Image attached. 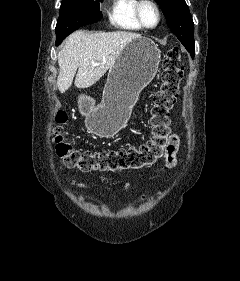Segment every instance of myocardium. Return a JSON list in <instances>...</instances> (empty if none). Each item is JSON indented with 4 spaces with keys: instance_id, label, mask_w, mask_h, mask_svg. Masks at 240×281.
Segmentation results:
<instances>
[{
    "instance_id": "1",
    "label": "myocardium",
    "mask_w": 240,
    "mask_h": 281,
    "mask_svg": "<svg viewBox=\"0 0 240 281\" xmlns=\"http://www.w3.org/2000/svg\"><path fill=\"white\" fill-rule=\"evenodd\" d=\"M146 4L153 6L156 11V14H157V21L154 25H151V26L147 25L145 23L143 16H142V8ZM135 15H136L137 21L144 29H154L159 26V24L161 23V20H162V11H161L160 5L155 0H137V4L135 7Z\"/></svg>"
}]
</instances>
